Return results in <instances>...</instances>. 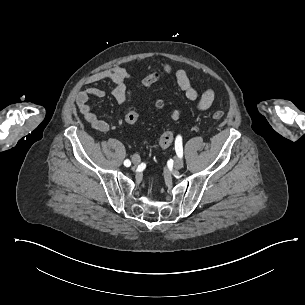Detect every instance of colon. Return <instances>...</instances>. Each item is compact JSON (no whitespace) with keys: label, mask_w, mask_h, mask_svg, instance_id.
<instances>
[{"label":"colon","mask_w":305,"mask_h":305,"mask_svg":"<svg viewBox=\"0 0 305 305\" xmlns=\"http://www.w3.org/2000/svg\"><path fill=\"white\" fill-rule=\"evenodd\" d=\"M166 79L171 80L174 77L173 72L168 71L165 74ZM163 75L160 72L152 71L150 72L148 77H145L142 79L141 84L143 87L148 88L153 86L156 82L162 80ZM155 108L158 110H162L165 108V105L163 102L159 101L155 103ZM214 119H221L224 117V112L221 110H217L213 113ZM170 117L173 120H176L178 118V112L176 110L170 111ZM124 120L127 124H135L139 120V113L136 110H131L128 113H126ZM174 139V134L171 131H166L161 134L159 138V146L161 148H167L172 145Z\"/></svg>","instance_id":"colon-1"}]
</instances>
